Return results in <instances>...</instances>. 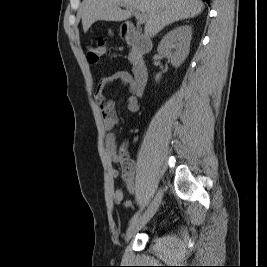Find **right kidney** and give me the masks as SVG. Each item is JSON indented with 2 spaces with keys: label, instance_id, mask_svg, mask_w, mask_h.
Listing matches in <instances>:
<instances>
[{
  "label": "right kidney",
  "instance_id": "ca27d5eb",
  "mask_svg": "<svg viewBox=\"0 0 267 267\" xmlns=\"http://www.w3.org/2000/svg\"><path fill=\"white\" fill-rule=\"evenodd\" d=\"M192 28L188 25L178 26L169 31L160 41L157 51L177 68L189 54ZM159 80L160 76L157 75Z\"/></svg>",
  "mask_w": 267,
  "mask_h": 267
}]
</instances>
